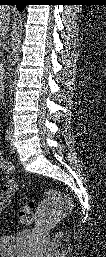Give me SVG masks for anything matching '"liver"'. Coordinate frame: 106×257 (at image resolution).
<instances>
[{"instance_id":"obj_1","label":"liver","mask_w":106,"mask_h":257,"mask_svg":"<svg viewBox=\"0 0 106 257\" xmlns=\"http://www.w3.org/2000/svg\"><path fill=\"white\" fill-rule=\"evenodd\" d=\"M9 7L0 8V32L1 36L5 35L9 30L10 13Z\"/></svg>"}]
</instances>
